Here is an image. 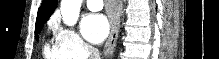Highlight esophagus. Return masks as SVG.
Wrapping results in <instances>:
<instances>
[{
    "label": "esophagus",
    "mask_w": 219,
    "mask_h": 59,
    "mask_svg": "<svg viewBox=\"0 0 219 59\" xmlns=\"http://www.w3.org/2000/svg\"><path fill=\"white\" fill-rule=\"evenodd\" d=\"M113 2H114L115 10L119 13L122 8L121 0H114ZM118 32H119V23L117 22V18L114 19L113 16H111L110 17V34L107 39V42L105 45V51H104L105 56H109L113 52L116 46Z\"/></svg>",
    "instance_id": "obj_1"
}]
</instances>
